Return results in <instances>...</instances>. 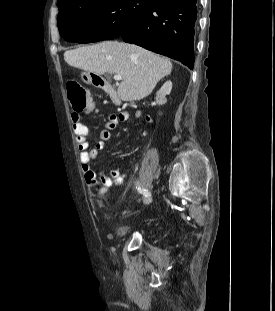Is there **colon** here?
I'll return each mask as SVG.
<instances>
[{"label":"colon","mask_w":275,"mask_h":311,"mask_svg":"<svg viewBox=\"0 0 275 311\" xmlns=\"http://www.w3.org/2000/svg\"><path fill=\"white\" fill-rule=\"evenodd\" d=\"M66 89L72 108L75 112L84 111L86 107L91 106L88 91L82 85L75 81H70L67 83ZM109 187L108 183H101V190H96L95 192L96 197H104L106 194L104 190H108Z\"/></svg>","instance_id":"obj_1"}]
</instances>
